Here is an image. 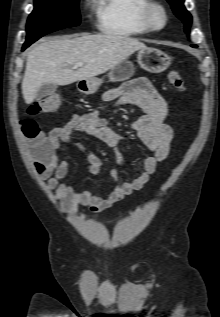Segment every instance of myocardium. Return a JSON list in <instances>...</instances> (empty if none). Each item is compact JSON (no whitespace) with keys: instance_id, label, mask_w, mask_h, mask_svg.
<instances>
[{"instance_id":"1","label":"myocardium","mask_w":220,"mask_h":317,"mask_svg":"<svg viewBox=\"0 0 220 317\" xmlns=\"http://www.w3.org/2000/svg\"><path fill=\"white\" fill-rule=\"evenodd\" d=\"M161 18V24H158L157 17ZM142 19L146 26L153 31L162 30L168 22V12L163 4L158 1H151L142 9Z\"/></svg>"}]
</instances>
